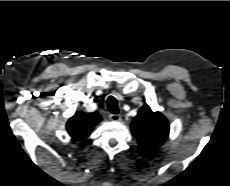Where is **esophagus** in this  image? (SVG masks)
<instances>
[{
    "label": "esophagus",
    "instance_id": "obj_1",
    "mask_svg": "<svg viewBox=\"0 0 230 186\" xmlns=\"http://www.w3.org/2000/svg\"><path fill=\"white\" fill-rule=\"evenodd\" d=\"M109 118H110L112 121H120V120H121V115H119V114H110V115H109Z\"/></svg>",
    "mask_w": 230,
    "mask_h": 186
}]
</instances>
